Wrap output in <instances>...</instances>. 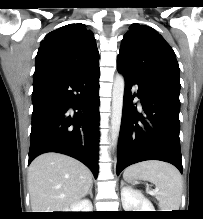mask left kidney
<instances>
[{
	"mask_svg": "<svg viewBox=\"0 0 203 219\" xmlns=\"http://www.w3.org/2000/svg\"><path fill=\"white\" fill-rule=\"evenodd\" d=\"M121 201L125 211H155L152 203L140 191L129 186L121 189Z\"/></svg>",
	"mask_w": 203,
	"mask_h": 219,
	"instance_id": "obj_1",
	"label": "left kidney"
}]
</instances>
